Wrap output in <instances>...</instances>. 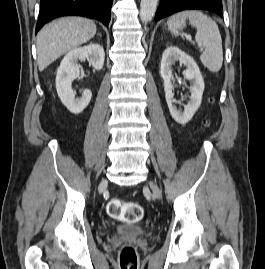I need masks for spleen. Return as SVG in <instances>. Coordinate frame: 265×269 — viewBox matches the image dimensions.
<instances>
[{
	"label": "spleen",
	"instance_id": "1",
	"mask_svg": "<svg viewBox=\"0 0 265 269\" xmlns=\"http://www.w3.org/2000/svg\"><path fill=\"white\" fill-rule=\"evenodd\" d=\"M186 20L196 28L195 41L204 48L200 55L202 64L211 72L220 71L223 64L222 39L216 22L198 10H185L172 15L167 25L172 34L186 27Z\"/></svg>",
	"mask_w": 265,
	"mask_h": 269
}]
</instances>
